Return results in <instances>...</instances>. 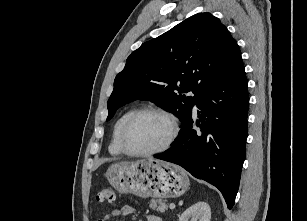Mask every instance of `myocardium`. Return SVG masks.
<instances>
[{
    "label": "myocardium",
    "instance_id": "obj_1",
    "mask_svg": "<svg viewBox=\"0 0 307 221\" xmlns=\"http://www.w3.org/2000/svg\"><path fill=\"white\" fill-rule=\"evenodd\" d=\"M145 114H157L167 119V121L170 124V134L168 138L166 139V141L161 146L155 149H152L149 151H135L129 147L127 143V136H128V133L132 125L135 123V121ZM178 132H179V123L174 114H172L171 112L165 109L158 108V107H145V108L135 111L124 123L121 133H120V137H119V144H120V147L123 153L129 156H133V157L152 156V155H156L158 153H161L167 150L172 145L174 140L176 139Z\"/></svg>",
    "mask_w": 307,
    "mask_h": 221
}]
</instances>
